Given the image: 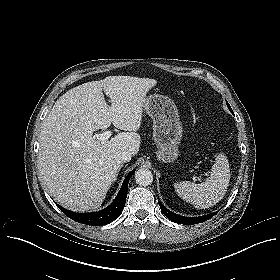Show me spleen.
I'll return each mask as SVG.
<instances>
[{"label":"spleen","instance_id":"3e777b00","mask_svg":"<svg viewBox=\"0 0 280 280\" xmlns=\"http://www.w3.org/2000/svg\"><path fill=\"white\" fill-rule=\"evenodd\" d=\"M209 178L200 184L182 181L174 184L178 195L198 208H209L226 194L230 182V168L224 153L216 155Z\"/></svg>","mask_w":280,"mask_h":280}]
</instances>
